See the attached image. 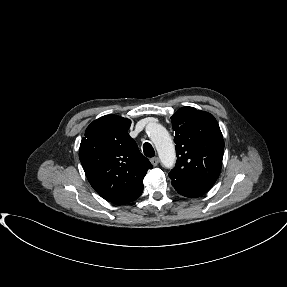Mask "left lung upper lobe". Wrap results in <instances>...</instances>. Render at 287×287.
Wrapping results in <instances>:
<instances>
[{
    "label": "left lung upper lobe",
    "mask_w": 287,
    "mask_h": 287,
    "mask_svg": "<svg viewBox=\"0 0 287 287\" xmlns=\"http://www.w3.org/2000/svg\"><path fill=\"white\" fill-rule=\"evenodd\" d=\"M171 119L177 161L169 177L179 194L199 197L212 188L221 171V130L213 115L193 107L180 108Z\"/></svg>",
    "instance_id": "left-lung-upper-lobe-1"
}]
</instances>
